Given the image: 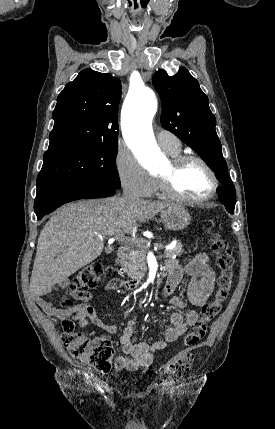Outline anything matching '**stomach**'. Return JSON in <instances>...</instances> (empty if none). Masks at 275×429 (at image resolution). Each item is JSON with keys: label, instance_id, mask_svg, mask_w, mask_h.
I'll list each match as a JSON object with an SVG mask.
<instances>
[{"label": "stomach", "instance_id": "1", "mask_svg": "<svg viewBox=\"0 0 275 429\" xmlns=\"http://www.w3.org/2000/svg\"><path fill=\"white\" fill-rule=\"evenodd\" d=\"M164 225L174 231L183 230L191 221L189 212L182 206H170L161 212Z\"/></svg>", "mask_w": 275, "mask_h": 429}]
</instances>
